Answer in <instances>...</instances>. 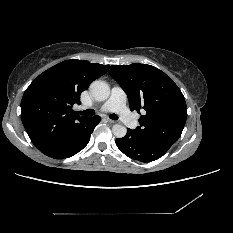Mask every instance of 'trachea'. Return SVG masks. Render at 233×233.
Instances as JSON below:
<instances>
[{
    "instance_id": "trachea-1",
    "label": "trachea",
    "mask_w": 233,
    "mask_h": 233,
    "mask_svg": "<svg viewBox=\"0 0 233 233\" xmlns=\"http://www.w3.org/2000/svg\"><path fill=\"white\" fill-rule=\"evenodd\" d=\"M78 113L83 115V116H86V117H91V116L94 115V110L93 109H87V110H84V111H78ZM109 118L112 119V120H117L118 116L116 114H111V115H109Z\"/></svg>"
}]
</instances>
